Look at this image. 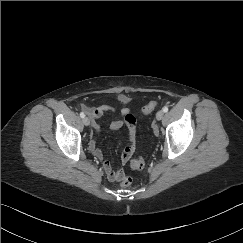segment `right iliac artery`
Wrapping results in <instances>:
<instances>
[{"label":"right iliac artery","instance_id":"obj_1","mask_svg":"<svg viewBox=\"0 0 243 243\" xmlns=\"http://www.w3.org/2000/svg\"><path fill=\"white\" fill-rule=\"evenodd\" d=\"M80 117L81 118H84L85 117V114L83 112L80 113Z\"/></svg>","mask_w":243,"mask_h":243}]
</instances>
